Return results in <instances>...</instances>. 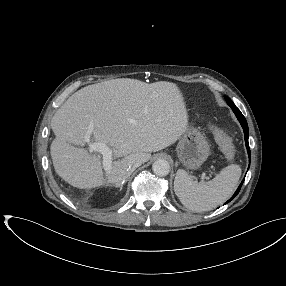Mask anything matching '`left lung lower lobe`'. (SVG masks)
Returning a JSON list of instances; mask_svg holds the SVG:
<instances>
[{
    "label": "left lung lower lobe",
    "mask_w": 286,
    "mask_h": 286,
    "mask_svg": "<svg viewBox=\"0 0 286 286\" xmlns=\"http://www.w3.org/2000/svg\"><path fill=\"white\" fill-rule=\"evenodd\" d=\"M233 112L235 113L237 119L239 120L243 131H244V136H245V143H246V148L248 151V156H249V161H250V148H249V143H248V137H249V130H248V125H247V121L245 119V117L242 115V113L239 111V109L237 107L232 108ZM249 168V167H248ZM244 180L242 181V183L240 184V186L238 187V189L236 190V192L234 193V195L231 197V199H229L226 203L230 202L240 191V188L243 184Z\"/></svg>",
    "instance_id": "0a47b994"
}]
</instances>
